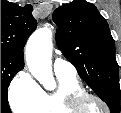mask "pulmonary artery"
Instances as JSON below:
<instances>
[{"mask_svg": "<svg viewBox=\"0 0 121 113\" xmlns=\"http://www.w3.org/2000/svg\"><path fill=\"white\" fill-rule=\"evenodd\" d=\"M55 74L59 75H76V68L73 64L61 57H56L53 64Z\"/></svg>", "mask_w": 121, "mask_h": 113, "instance_id": "e3ab8cb5", "label": "pulmonary artery"}]
</instances>
